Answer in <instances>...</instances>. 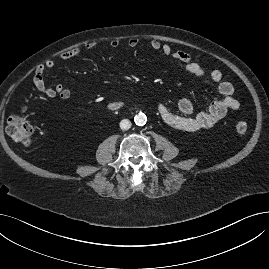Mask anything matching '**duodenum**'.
Segmentation results:
<instances>
[{
  "mask_svg": "<svg viewBox=\"0 0 269 269\" xmlns=\"http://www.w3.org/2000/svg\"><path fill=\"white\" fill-rule=\"evenodd\" d=\"M122 106L121 102H112L109 104V109L112 111L118 110Z\"/></svg>",
  "mask_w": 269,
  "mask_h": 269,
  "instance_id": "410a0bca",
  "label": "duodenum"
}]
</instances>
